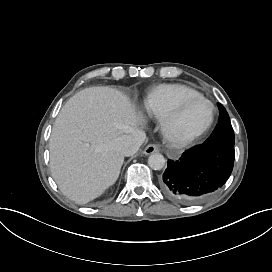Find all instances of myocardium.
Masks as SVG:
<instances>
[{"instance_id":"obj_1","label":"myocardium","mask_w":272,"mask_h":272,"mask_svg":"<svg viewBox=\"0 0 272 272\" xmlns=\"http://www.w3.org/2000/svg\"><path fill=\"white\" fill-rule=\"evenodd\" d=\"M194 100H203L205 101L209 107H210V117L208 122L206 123V125H204L203 127H201L200 129L194 130V131H190V132H183L180 131L179 129H177L175 126H173L172 128L169 126V122L167 119L164 120L163 122V128L164 131L166 133H170L172 138L177 141V142H185V141H189L192 140L194 138H197L199 136H201L202 134H204L205 132H207L213 125L214 120H215V116H216V106L214 105V103L207 97H205L202 94H196L193 96H189V97H185L183 98L175 107L174 111H176V116H179L183 110L185 109V107L192 101Z\"/></svg>"}]
</instances>
